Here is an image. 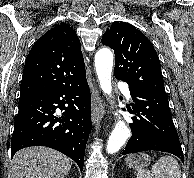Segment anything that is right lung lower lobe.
<instances>
[{"mask_svg":"<svg viewBox=\"0 0 194 178\" xmlns=\"http://www.w3.org/2000/svg\"><path fill=\"white\" fill-rule=\"evenodd\" d=\"M91 96L86 78L46 93L19 99L11 141L12 156L29 146H47L73 159L83 169L92 128ZM64 110L55 115L56 109Z\"/></svg>","mask_w":194,"mask_h":178,"instance_id":"1","label":"right lung lower lobe"}]
</instances>
